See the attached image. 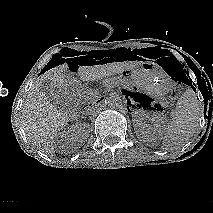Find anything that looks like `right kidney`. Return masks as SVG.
<instances>
[{
	"mask_svg": "<svg viewBox=\"0 0 213 213\" xmlns=\"http://www.w3.org/2000/svg\"><path fill=\"white\" fill-rule=\"evenodd\" d=\"M70 135L81 137L82 139H86L88 137L86 124L84 123L76 124L72 128L68 129L67 131H64V133H62L60 137L66 138V137H69Z\"/></svg>",
	"mask_w": 213,
	"mask_h": 213,
	"instance_id": "ca27d5eb",
	"label": "right kidney"
}]
</instances>
